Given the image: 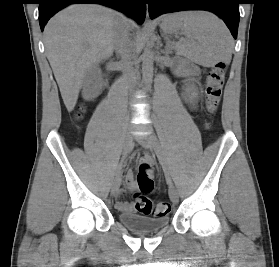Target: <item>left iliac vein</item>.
<instances>
[{"mask_svg":"<svg viewBox=\"0 0 279 267\" xmlns=\"http://www.w3.org/2000/svg\"><path fill=\"white\" fill-rule=\"evenodd\" d=\"M138 140L144 146H146L148 149H150L152 151L157 152L159 150V144L157 142L156 137L153 134L144 135V136L138 138ZM169 197L173 203H175V204L178 203V200H179L178 192L172 184H169Z\"/></svg>","mask_w":279,"mask_h":267,"instance_id":"obj_1","label":"left iliac vein"}]
</instances>
